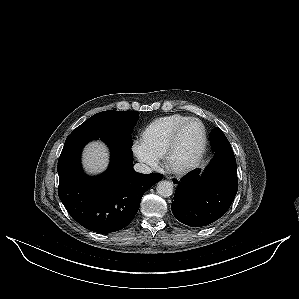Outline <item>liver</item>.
I'll return each mask as SVG.
<instances>
[{
	"mask_svg": "<svg viewBox=\"0 0 299 299\" xmlns=\"http://www.w3.org/2000/svg\"><path fill=\"white\" fill-rule=\"evenodd\" d=\"M108 162V149L103 143L92 142L85 147L82 163L88 173L102 172L108 166Z\"/></svg>",
	"mask_w": 299,
	"mask_h": 299,
	"instance_id": "obj_1",
	"label": "liver"
}]
</instances>
